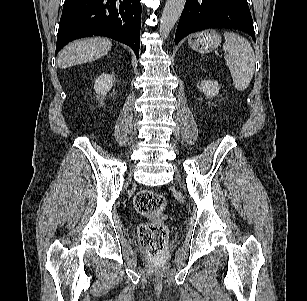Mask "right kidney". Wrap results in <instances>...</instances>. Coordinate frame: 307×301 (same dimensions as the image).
Wrapping results in <instances>:
<instances>
[{"instance_id": "1", "label": "right kidney", "mask_w": 307, "mask_h": 301, "mask_svg": "<svg viewBox=\"0 0 307 301\" xmlns=\"http://www.w3.org/2000/svg\"><path fill=\"white\" fill-rule=\"evenodd\" d=\"M114 83V75L103 73L94 83V90L99 95H106Z\"/></svg>"}]
</instances>
